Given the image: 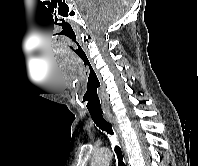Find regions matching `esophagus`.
Returning a JSON list of instances; mask_svg holds the SVG:
<instances>
[{
  "mask_svg": "<svg viewBox=\"0 0 198 166\" xmlns=\"http://www.w3.org/2000/svg\"><path fill=\"white\" fill-rule=\"evenodd\" d=\"M105 119L110 122L112 124V126L114 127L116 133H117V136H118V139L120 141V144H121V147H122V150L125 152V142H124V139L122 137V134H121V130H120V127L117 123V120L115 118V116H113L112 114H105Z\"/></svg>",
  "mask_w": 198,
  "mask_h": 166,
  "instance_id": "1",
  "label": "esophagus"
}]
</instances>
